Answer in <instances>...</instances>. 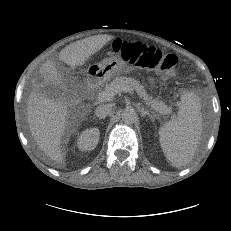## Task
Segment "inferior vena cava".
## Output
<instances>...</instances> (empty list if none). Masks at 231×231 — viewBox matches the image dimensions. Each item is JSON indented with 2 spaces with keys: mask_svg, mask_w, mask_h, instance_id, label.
Instances as JSON below:
<instances>
[{
  "mask_svg": "<svg viewBox=\"0 0 231 231\" xmlns=\"http://www.w3.org/2000/svg\"><path fill=\"white\" fill-rule=\"evenodd\" d=\"M111 110L112 106L110 104H102L95 109V115L98 118L103 119L110 114Z\"/></svg>",
  "mask_w": 231,
  "mask_h": 231,
  "instance_id": "1",
  "label": "inferior vena cava"
}]
</instances>
